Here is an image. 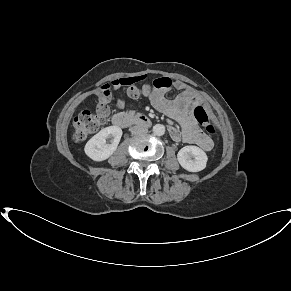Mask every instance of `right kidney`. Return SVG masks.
<instances>
[{
    "mask_svg": "<svg viewBox=\"0 0 291 291\" xmlns=\"http://www.w3.org/2000/svg\"><path fill=\"white\" fill-rule=\"evenodd\" d=\"M122 130L118 126H109L94 135L85 145V154L93 161H104L108 159L117 149ZM110 144L107 143V139Z\"/></svg>",
    "mask_w": 291,
    "mask_h": 291,
    "instance_id": "right-kidney-1",
    "label": "right kidney"
}]
</instances>
